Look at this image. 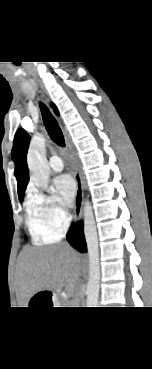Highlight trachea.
<instances>
[{
    "instance_id": "3493384b",
    "label": "trachea",
    "mask_w": 152,
    "mask_h": 369,
    "mask_svg": "<svg viewBox=\"0 0 152 369\" xmlns=\"http://www.w3.org/2000/svg\"><path fill=\"white\" fill-rule=\"evenodd\" d=\"M40 107L42 111L44 125L48 131L50 138L57 145L64 146V136L56 119L52 116V114L44 104H41Z\"/></svg>"
}]
</instances>
